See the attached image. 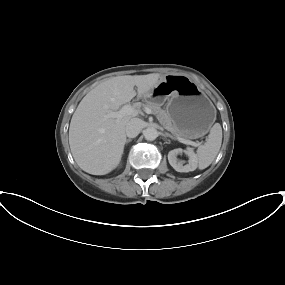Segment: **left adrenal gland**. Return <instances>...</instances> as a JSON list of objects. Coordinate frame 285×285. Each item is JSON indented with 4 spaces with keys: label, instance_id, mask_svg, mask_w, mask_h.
Listing matches in <instances>:
<instances>
[{
    "label": "left adrenal gland",
    "instance_id": "left-adrenal-gland-1",
    "mask_svg": "<svg viewBox=\"0 0 285 285\" xmlns=\"http://www.w3.org/2000/svg\"><path fill=\"white\" fill-rule=\"evenodd\" d=\"M166 137H169V138H171V139H175V137L174 136H172L171 134H169V133H165L164 134Z\"/></svg>",
    "mask_w": 285,
    "mask_h": 285
}]
</instances>
